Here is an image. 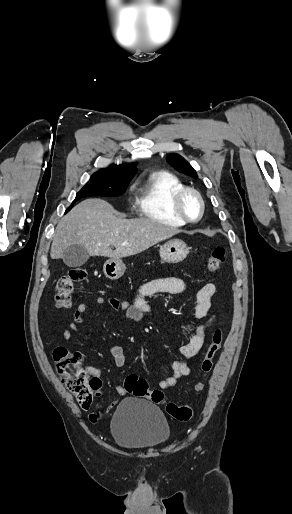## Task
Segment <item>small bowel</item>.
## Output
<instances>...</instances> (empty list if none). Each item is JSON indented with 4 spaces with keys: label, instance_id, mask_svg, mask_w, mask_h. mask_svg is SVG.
I'll list each match as a JSON object with an SVG mask.
<instances>
[{
    "label": "small bowel",
    "instance_id": "1",
    "mask_svg": "<svg viewBox=\"0 0 292 514\" xmlns=\"http://www.w3.org/2000/svg\"><path fill=\"white\" fill-rule=\"evenodd\" d=\"M187 282L181 278L168 277L155 279L139 285L133 295L132 300L119 299L117 297L105 298L97 296L94 302L97 306L108 305L116 312H120L124 318L141 323L152 317V311L146 302V297L156 294H177L186 291ZM216 292L213 283L204 284L196 295V306L194 309V318L200 322L193 326V334L190 341L181 347L180 352L185 360L174 361L172 364V374L158 382L161 390L174 387L179 379L188 376L191 373V364L200 352L205 343L207 330L216 319V314L211 312L212 297ZM88 310L87 303H80L74 310L73 321L68 328L63 331V338L67 341L73 339L74 333L78 327L84 322V315ZM110 353L114 358L117 367H123L126 363V354L122 346L118 344L110 345ZM90 374L100 376V366L93 364L87 366ZM115 391L121 395H126V391L120 382L114 384ZM119 397L112 401L114 406L119 404ZM109 404L106 412L110 413L114 406Z\"/></svg>",
    "mask_w": 292,
    "mask_h": 514
}]
</instances>
